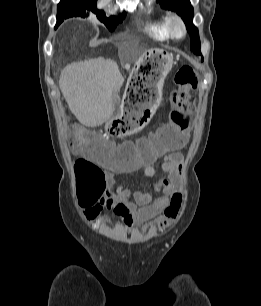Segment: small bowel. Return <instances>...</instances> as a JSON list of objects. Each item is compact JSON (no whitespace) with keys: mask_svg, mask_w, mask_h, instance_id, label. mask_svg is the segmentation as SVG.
I'll use <instances>...</instances> for the list:
<instances>
[{"mask_svg":"<svg viewBox=\"0 0 261 306\" xmlns=\"http://www.w3.org/2000/svg\"><path fill=\"white\" fill-rule=\"evenodd\" d=\"M160 167L164 176L153 184L151 190L139 189L133 192L123 186H116V177L125 172L140 171L146 178H152L156 170L151 163L109 170L106 173L105 195L95 206L85 211V217L97 223L102 210L113 209L128 231H132L136 223H144L143 232L165 227L177 218L182 204L180 186L183 156L180 153L166 154L160 160ZM156 193L162 195L155 197Z\"/></svg>","mask_w":261,"mask_h":306,"instance_id":"small-bowel-1","label":"small bowel"}]
</instances>
